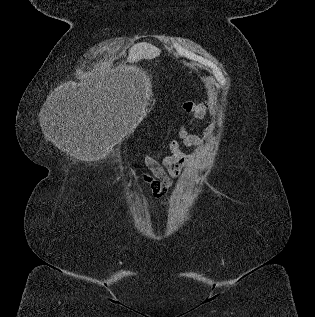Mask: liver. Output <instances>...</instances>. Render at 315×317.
Listing matches in <instances>:
<instances>
[{"instance_id":"liver-1","label":"liver","mask_w":315,"mask_h":317,"mask_svg":"<svg viewBox=\"0 0 315 317\" xmlns=\"http://www.w3.org/2000/svg\"><path fill=\"white\" fill-rule=\"evenodd\" d=\"M161 50L151 45H138L130 50L127 61L137 62L141 59H154L158 57Z\"/></svg>"}]
</instances>
